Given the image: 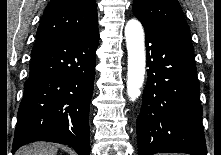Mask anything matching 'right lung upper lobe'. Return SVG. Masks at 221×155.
Masks as SVG:
<instances>
[{"instance_id": "cb5924a9", "label": "right lung upper lobe", "mask_w": 221, "mask_h": 155, "mask_svg": "<svg viewBox=\"0 0 221 155\" xmlns=\"http://www.w3.org/2000/svg\"><path fill=\"white\" fill-rule=\"evenodd\" d=\"M98 27L95 0H51L44 10L37 39L72 35Z\"/></svg>"}]
</instances>
